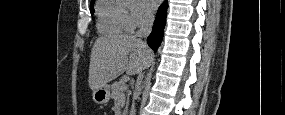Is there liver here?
I'll return each mask as SVG.
<instances>
[{
  "instance_id": "1",
  "label": "liver",
  "mask_w": 285,
  "mask_h": 115,
  "mask_svg": "<svg viewBox=\"0 0 285 115\" xmlns=\"http://www.w3.org/2000/svg\"><path fill=\"white\" fill-rule=\"evenodd\" d=\"M152 60L150 48L127 34L101 37L93 45L88 83L95 90L116 79L123 72L138 74Z\"/></svg>"
}]
</instances>
